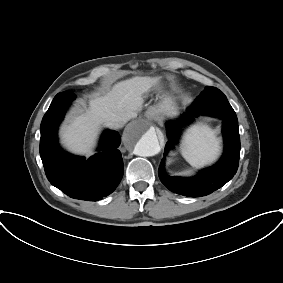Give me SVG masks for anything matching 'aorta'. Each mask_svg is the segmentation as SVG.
Instances as JSON below:
<instances>
[{"label":"aorta","instance_id":"762f6f07","mask_svg":"<svg viewBox=\"0 0 283 283\" xmlns=\"http://www.w3.org/2000/svg\"><path fill=\"white\" fill-rule=\"evenodd\" d=\"M123 142L136 155L143 157L155 156L161 150L155 127L146 121L131 123L124 132Z\"/></svg>","mask_w":283,"mask_h":283}]
</instances>
